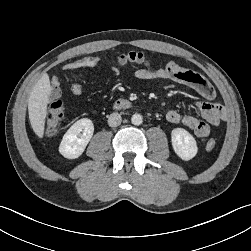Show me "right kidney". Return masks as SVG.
Wrapping results in <instances>:
<instances>
[{
  "instance_id": "ca27d5eb",
  "label": "right kidney",
  "mask_w": 251,
  "mask_h": 251,
  "mask_svg": "<svg viewBox=\"0 0 251 251\" xmlns=\"http://www.w3.org/2000/svg\"><path fill=\"white\" fill-rule=\"evenodd\" d=\"M94 132L93 122L88 118L76 121L64 134L59 152L65 158H78L85 150Z\"/></svg>"
}]
</instances>
